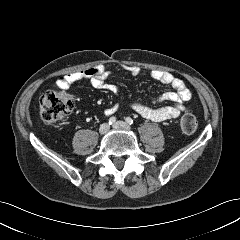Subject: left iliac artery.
<instances>
[{
	"label": "left iliac artery",
	"instance_id": "obj_1",
	"mask_svg": "<svg viewBox=\"0 0 240 240\" xmlns=\"http://www.w3.org/2000/svg\"><path fill=\"white\" fill-rule=\"evenodd\" d=\"M126 122H127L129 125L133 124V120H132V118H130V117H127V118H126Z\"/></svg>",
	"mask_w": 240,
	"mask_h": 240
}]
</instances>
